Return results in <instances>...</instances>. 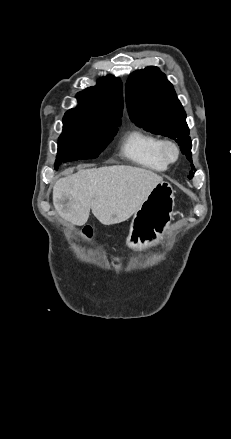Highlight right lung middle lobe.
Segmentation results:
<instances>
[{
  "label": "right lung middle lobe",
  "instance_id": "obj_1",
  "mask_svg": "<svg viewBox=\"0 0 231 439\" xmlns=\"http://www.w3.org/2000/svg\"><path fill=\"white\" fill-rule=\"evenodd\" d=\"M55 169L64 162L94 159L112 141L117 126L82 118H63Z\"/></svg>",
  "mask_w": 231,
  "mask_h": 439
}]
</instances>
